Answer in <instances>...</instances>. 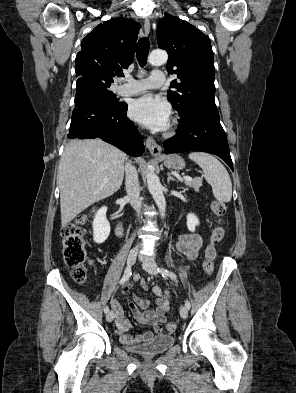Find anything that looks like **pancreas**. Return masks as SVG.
Returning a JSON list of instances; mask_svg holds the SVG:
<instances>
[{"label":"pancreas","instance_id":"cf45deb5","mask_svg":"<svg viewBox=\"0 0 296 393\" xmlns=\"http://www.w3.org/2000/svg\"><path fill=\"white\" fill-rule=\"evenodd\" d=\"M185 185L191 188H194L195 191H199L200 187L202 186V179L201 178H194L190 181L185 180Z\"/></svg>","mask_w":296,"mask_h":393}]
</instances>
